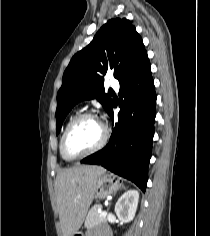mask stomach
Instances as JSON below:
<instances>
[{"label":"stomach","mask_w":210,"mask_h":236,"mask_svg":"<svg viewBox=\"0 0 210 236\" xmlns=\"http://www.w3.org/2000/svg\"><path fill=\"white\" fill-rule=\"evenodd\" d=\"M121 186L120 180L114 175L102 174L97 179L94 197L96 199H105L107 196L116 193ZM74 236L82 235L77 232Z\"/></svg>","instance_id":"stomach-1"}]
</instances>
